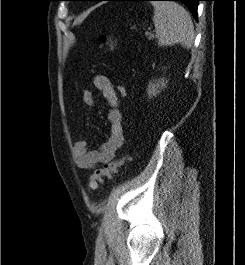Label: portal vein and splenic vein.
Segmentation results:
<instances>
[{
  "mask_svg": "<svg viewBox=\"0 0 245 265\" xmlns=\"http://www.w3.org/2000/svg\"><path fill=\"white\" fill-rule=\"evenodd\" d=\"M146 35L148 36V35H151L150 33H146Z\"/></svg>",
  "mask_w": 245,
  "mask_h": 265,
  "instance_id": "1",
  "label": "portal vein and splenic vein"
}]
</instances>
